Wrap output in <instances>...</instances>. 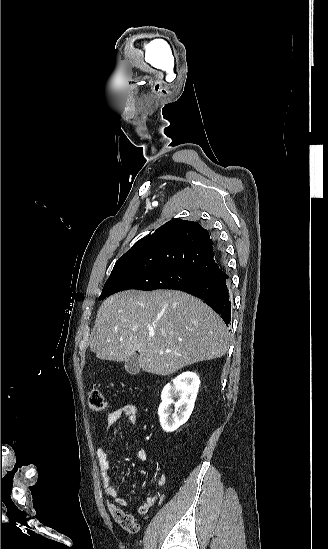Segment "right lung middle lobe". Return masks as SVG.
<instances>
[{"instance_id":"obj_1","label":"right lung middle lobe","mask_w":328,"mask_h":549,"mask_svg":"<svg viewBox=\"0 0 328 549\" xmlns=\"http://www.w3.org/2000/svg\"><path fill=\"white\" fill-rule=\"evenodd\" d=\"M207 279L194 271L162 266H129L113 271L104 285L99 300L113 293L128 290L176 289Z\"/></svg>"}]
</instances>
